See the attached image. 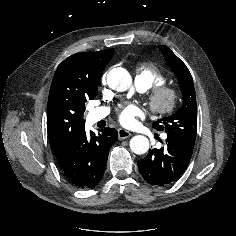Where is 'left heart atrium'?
Wrapping results in <instances>:
<instances>
[{
  "instance_id": "1",
  "label": "left heart atrium",
  "mask_w": 236,
  "mask_h": 236,
  "mask_svg": "<svg viewBox=\"0 0 236 236\" xmlns=\"http://www.w3.org/2000/svg\"><path fill=\"white\" fill-rule=\"evenodd\" d=\"M142 110L133 104L124 106L119 112V121L125 127H133L136 125V119L142 117Z\"/></svg>"
}]
</instances>
